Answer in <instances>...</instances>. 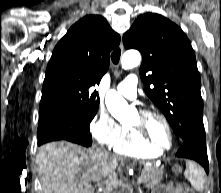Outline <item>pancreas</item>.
Returning <instances> with one entry per match:
<instances>
[{"label": "pancreas", "mask_w": 221, "mask_h": 193, "mask_svg": "<svg viewBox=\"0 0 221 193\" xmlns=\"http://www.w3.org/2000/svg\"><path fill=\"white\" fill-rule=\"evenodd\" d=\"M163 169L156 166H146L141 171V176H145L144 184L146 188L153 189L162 180Z\"/></svg>", "instance_id": "obj_1"}]
</instances>
